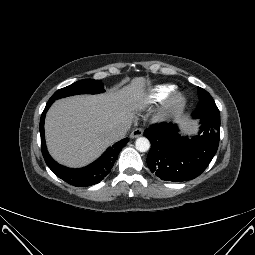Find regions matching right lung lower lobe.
Listing matches in <instances>:
<instances>
[{
  "instance_id": "right-lung-lower-lobe-1",
  "label": "right lung lower lobe",
  "mask_w": 255,
  "mask_h": 255,
  "mask_svg": "<svg viewBox=\"0 0 255 255\" xmlns=\"http://www.w3.org/2000/svg\"><path fill=\"white\" fill-rule=\"evenodd\" d=\"M53 102L48 101L46 107L41 115L40 120V135H41V150L45 162L48 167L62 180L73 185V186H91L99 183L103 180L111 171L120 150L127 144L128 139L124 138L121 141L115 143L113 146L109 147L103 155L97 159L92 164L80 168V169H70L58 164L49 155L44 138V119L47 110Z\"/></svg>"
}]
</instances>
